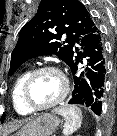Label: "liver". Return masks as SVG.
Returning a JSON list of instances; mask_svg holds the SVG:
<instances>
[{
  "instance_id": "1",
  "label": "liver",
  "mask_w": 117,
  "mask_h": 136,
  "mask_svg": "<svg viewBox=\"0 0 117 136\" xmlns=\"http://www.w3.org/2000/svg\"><path fill=\"white\" fill-rule=\"evenodd\" d=\"M21 124H22L21 122H16V121L8 123V125L5 128L4 134L5 135L10 134L11 132L18 129L21 126Z\"/></svg>"
}]
</instances>
